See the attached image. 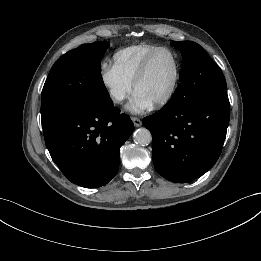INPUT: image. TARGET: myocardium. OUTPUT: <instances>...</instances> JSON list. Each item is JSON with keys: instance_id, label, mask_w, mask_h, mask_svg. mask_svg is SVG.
I'll return each instance as SVG.
<instances>
[{"instance_id": "1", "label": "myocardium", "mask_w": 261, "mask_h": 261, "mask_svg": "<svg viewBox=\"0 0 261 261\" xmlns=\"http://www.w3.org/2000/svg\"><path fill=\"white\" fill-rule=\"evenodd\" d=\"M162 51L170 53L171 56L173 57L174 77H173V81H172L171 86H170L169 90L167 91V93L162 98H160L159 100H157L156 102L153 103V106L155 108H161V107L165 106L167 103H169L177 90L179 79H180V62H179V57L176 54V52L173 49H171L169 47H165V46H160V47L156 48L144 59L138 73L136 74V76L133 80V89L136 90L139 83L146 77L153 58L159 52H162Z\"/></svg>"}]
</instances>
